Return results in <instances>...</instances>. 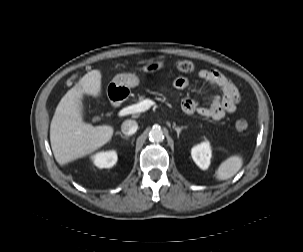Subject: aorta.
Instances as JSON below:
<instances>
[{"mask_svg": "<svg viewBox=\"0 0 303 252\" xmlns=\"http://www.w3.org/2000/svg\"><path fill=\"white\" fill-rule=\"evenodd\" d=\"M149 139L154 142H160L164 139V133L160 127H153L149 132Z\"/></svg>", "mask_w": 303, "mask_h": 252, "instance_id": "1", "label": "aorta"}]
</instances>
